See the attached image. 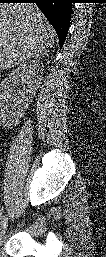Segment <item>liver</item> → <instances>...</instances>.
Wrapping results in <instances>:
<instances>
[{
  "instance_id": "1",
  "label": "liver",
  "mask_w": 106,
  "mask_h": 257,
  "mask_svg": "<svg viewBox=\"0 0 106 257\" xmlns=\"http://www.w3.org/2000/svg\"><path fill=\"white\" fill-rule=\"evenodd\" d=\"M54 44V30L33 3L0 5V70L44 57Z\"/></svg>"
}]
</instances>
